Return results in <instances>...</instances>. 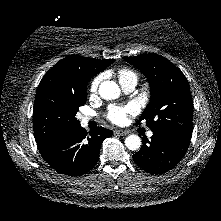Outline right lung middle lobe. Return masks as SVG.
I'll use <instances>...</instances> for the list:
<instances>
[{
  "label": "right lung middle lobe",
  "instance_id": "right-lung-middle-lobe-1",
  "mask_svg": "<svg viewBox=\"0 0 221 221\" xmlns=\"http://www.w3.org/2000/svg\"><path fill=\"white\" fill-rule=\"evenodd\" d=\"M86 103V89L72 91L55 86L37 88L33 128L36 143H48L80 125L76 113Z\"/></svg>",
  "mask_w": 221,
  "mask_h": 221
}]
</instances>
